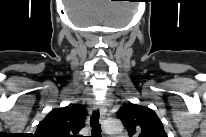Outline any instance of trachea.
<instances>
[{"mask_svg": "<svg viewBox=\"0 0 206 137\" xmlns=\"http://www.w3.org/2000/svg\"><path fill=\"white\" fill-rule=\"evenodd\" d=\"M90 126L92 128V137H102L100 136L101 126L99 124V112L98 111L94 112L92 117L90 118Z\"/></svg>", "mask_w": 206, "mask_h": 137, "instance_id": "3493384b", "label": "trachea"}]
</instances>
